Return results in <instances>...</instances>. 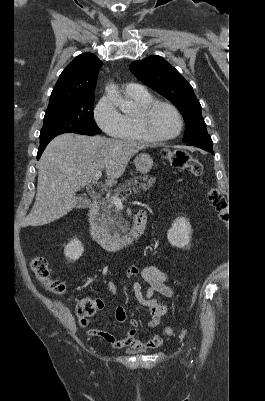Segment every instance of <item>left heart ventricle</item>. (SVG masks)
<instances>
[{"label": "left heart ventricle", "instance_id": "obj_1", "mask_svg": "<svg viewBox=\"0 0 265 401\" xmlns=\"http://www.w3.org/2000/svg\"><path fill=\"white\" fill-rule=\"evenodd\" d=\"M147 126L155 138L173 136L178 132L179 122L176 115L166 107H157L149 116Z\"/></svg>", "mask_w": 265, "mask_h": 401}]
</instances>
